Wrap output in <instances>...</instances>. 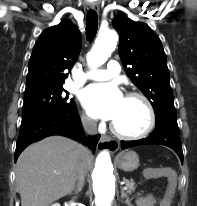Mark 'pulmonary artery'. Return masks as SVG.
<instances>
[{
  "instance_id": "obj_1",
  "label": "pulmonary artery",
  "mask_w": 197,
  "mask_h": 206,
  "mask_svg": "<svg viewBox=\"0 0 197 206\" xmlns=\"http://www.w3.org/2000/svg\"><path fill=\"white\" fill-rule=\"evenodd\" d=\"M121 70L120 64L116 60H110L106 69L88 72L86 77L92 80H107L118 74Z\"/></svg>"
}]
</instances>
